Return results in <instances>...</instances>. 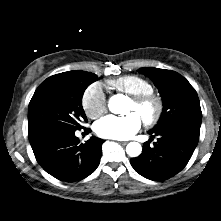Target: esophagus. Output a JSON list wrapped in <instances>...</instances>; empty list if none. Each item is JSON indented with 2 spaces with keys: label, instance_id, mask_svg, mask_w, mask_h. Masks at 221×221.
<instances>
[{
  "label": "esophagus",
  "instance_id": "obj_1",
  "mask_svg": "<svg viewBox=\"0 0 221 221\" xmlns=\"http://www.w3.org/2000/svg\"><path fill=\"white\" fill-rule=\"evenodd\" d=\"M120 144H122V145H126L127 142H126V141H121Z\"/></svg>",
  "mask_w": 221,
  "mask_h": 221
}]
</instances>
